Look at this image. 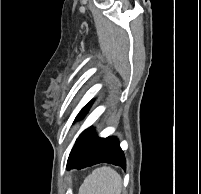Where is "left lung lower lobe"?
<instances>
[{"instance_id": "1", "label": "left lung lower lobe", "mask_w": 201, "mask_h": 194, "mask_svg": "<svg viewBox=\"0 0 201 194\" xmlns=\"http://www.w3.org/2000/svg\"><path fill=\"white\" fill-rule=\"evenodd\" d=\"M101 162L126 169V160L116 137L99 138L88 128L75 142L67 162V169L85 168Z\"/></svg>"}]
</instances>
